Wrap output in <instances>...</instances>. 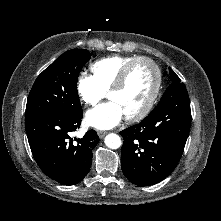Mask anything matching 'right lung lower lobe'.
<instances>
[{
	"instance_id": "1",
	"label": "right lung lower lobe",
	"mask_w": 221,
	"mask_h": 221,
	"mask_svg": "<svg viewBox=\"0 0 221 221\" xmlns=\"http://www.w3.org/2000/svg\"><path fill=\"white\" fill-rule=\"evenodd\" d=\"M82 114L52 112L25 120L28 142L40 169L63 185L80 182L89 172L92 150L99 142L95 130L76 142L70 132L80 127Z\"/></svg>"
}]
</instances>
